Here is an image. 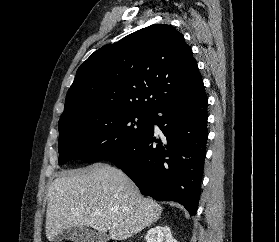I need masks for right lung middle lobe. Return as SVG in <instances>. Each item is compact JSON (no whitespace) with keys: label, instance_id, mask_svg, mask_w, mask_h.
Returning a JSON list of instances; mask_svg holds the SVG:
<instances>
[{"label":"right lung middle lobe","instance_id":"right-lung-middle-lobe-1","mask_svg":"<svg viewBox=\"0 0 279 242\" xmlns=\"http://www.w3.org/2000/svg\"><path fill=\"white\" fill-rule=\"evenodd\" d=\"M151 117V112L126 110L106 117L71 119L60 124L59 164L72 158L93 163L125 150L147 132Z\"/></svg>","mask_w":279,"mask_h":242}]
</instances>
